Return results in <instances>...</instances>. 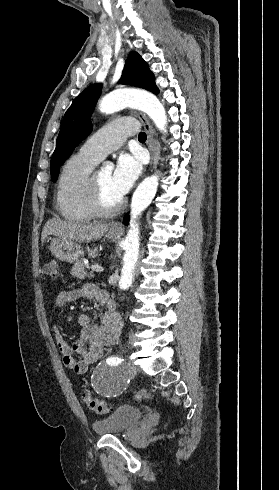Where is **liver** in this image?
<instances>
[{
	"label": "liver",
	"instance_id": "6515ba94",
	"mask_svg": "<svg viewBox=\"0 0 279 490\" xmlns=\"http://www.w3.org/2000/svg\"><path fill=\"white\" fill-rule=\"evenodd\" d=\"M108 226L109 224H100V226L73 224V222H63V220L52 218L46 222L42 230L41 242H45L48 236H58L62 240H71V242H91V240L102 238L105 232H108Z\"/></svg>",
	"mask_w": 279,
	"mask_h": 490
}]
</instances>
